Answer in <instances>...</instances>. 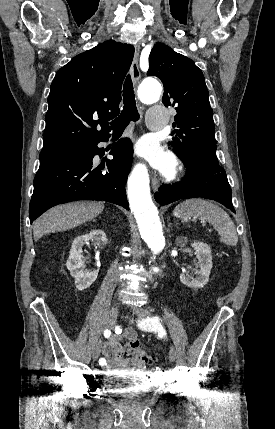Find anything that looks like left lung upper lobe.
<instances>
[{"label":"left lung upper lobe","instance_id":"obj_1","mask_svg":"<svg viewBox=\"0 0 275 429\" xmlns=\"http://www.w3.org/2000/svg\"><path fill=\"white\" fill-rule=\"evenodd\" d=\"M147 75L161 79L163 104L177 111L170 143L176 155L183 162L206 159L218 163L213 110L202 71L191 59L157 43L149 56Z\"/></svg>","mask_w":275,"mask_h":429}]
</instances>
